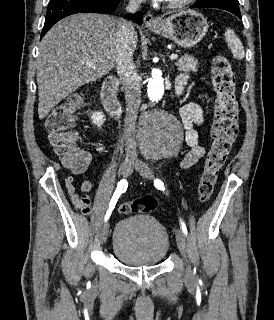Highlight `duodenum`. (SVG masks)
Listing matches in <instances>:
<instances>
[{
	"label": "duodenum",
	"mask_w": 274,
	"mask_h": 320,
	"mask_svg": "<svg viewBox=\"0 0 274 320\" xmlns=\"http://www.w3.org/2000/svg\"><path fill=\"white\" fill-rule=\"evenodd\" d=\"M119 79L115 76L108 77L102 84L101 98L104 108L108 113L119 117L122 113V105L118 99Z\"/></svg>",
	"instance_id": "obj_1"
}]
</instances>
